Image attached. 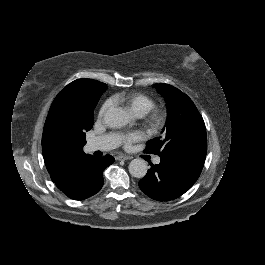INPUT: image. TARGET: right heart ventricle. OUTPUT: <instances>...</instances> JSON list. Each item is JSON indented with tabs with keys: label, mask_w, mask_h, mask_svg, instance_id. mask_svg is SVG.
<instances>
[{
	"label": "right heart ventricle",
	"mask_w": 265,
	"mask_h": 265,
	"mask_svg": "<svg viewBox=\"0 0 265 265\" xmlns=\"http://www.w3.org/2000/svg\"><path fill=\"white\" fill-rule=\"evenodd\" d=\"M112 99L114 103L125 106L138 116H143L154 108V101L148 95L134 90H120Z\"/></svg>",
	"instance_id": "1"
}]
</instances>
